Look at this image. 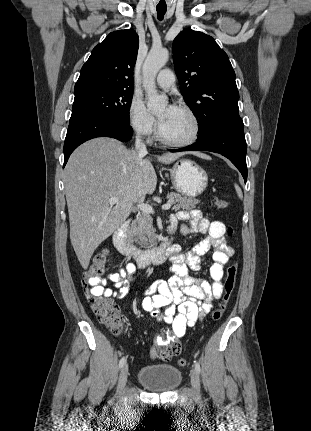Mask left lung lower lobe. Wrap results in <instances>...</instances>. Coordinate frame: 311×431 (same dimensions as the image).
<instances>
[{
	"label": "left lung lower lobe",
	"instance_id": "0a47b994",
	"mask_svg": "<svg viewBox=\"0 0 311 431\" xmlns=\"http://www.w3.org/2000/svg\"><path fill=\"white\" fill-rule=\"evenodd\" d=\"M212 151L227 157L247 180L246 140L243 121L240 117L226 118L214 125L208 132L198 136L197 142L181 149V151Z\"/></svg>",
	"mask_w": 311,
	"mask_h": 431
}]
</instances>
